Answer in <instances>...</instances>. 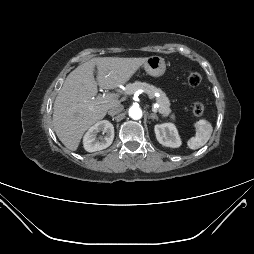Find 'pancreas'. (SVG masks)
<instances>
[{
    "label": "pancreas",
    "mask_w": 254,
    "mask_h": 254,
    "mask_svg": "<svg viewBox=\"0 0 254 254\" xmlns=\"http://www.w3.org/2000/svg\"><path fill=\"white\" fill-rule=\"evenodd\" d=\"M144 90L145 93L149 96V98H155V93H158L159 96L156 97V102L159 105L157 111L163 117H170L172 121L175 120V115L172 113L170 109V101L167 98L166 94L159 88L154 87L145 82L136 81L134 83H129L126 85V93L127 94H134L137 90Z\"/></svg>",
    "instance_id": "obj_1"
}]
</instances>
